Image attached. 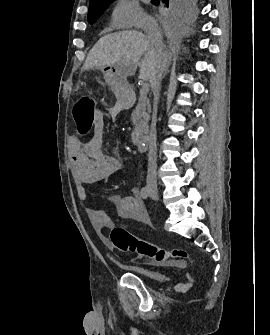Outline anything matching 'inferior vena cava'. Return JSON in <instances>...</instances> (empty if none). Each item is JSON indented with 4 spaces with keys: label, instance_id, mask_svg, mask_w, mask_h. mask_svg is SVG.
Returning <instances> with one entry per match:
<instances>
[{
    "label": "inferior vena cava",
    "instance_id": "inferior-vena-cava-1",
    "mask_svg": "<svg viewBox=\"0 0 270 335\" xmlns=\"http://www.w3.org/2000/svg\"><path fill=\"white\" fill-rule=\"evenodd\" d=\"M143 30L146 34L147 40H150L153 46H163L161 30L154 18H145L143 20ZM166 70V64H163L160 70H157L153 80H150L152 92L154 94V106L157 108L158 100H159V92L161 86V80L163 78V74ZM156 120L153 116L151 122V128L149 132V160H148V171H147V185H156L157 187V146H156Z\"/></svg>",
    "mask_w": 270,
    "mask_h": 335
}]
</instances>
